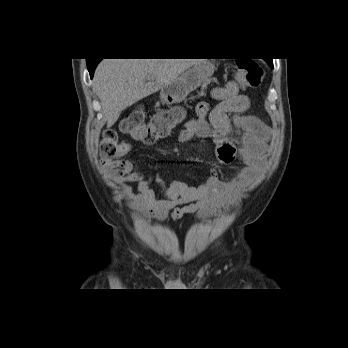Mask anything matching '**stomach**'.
<instances>
[{
	"instance_id": "stomach-1",
	"label": "stomach",
	"mask_w": 348,
	"mask_h": 348,
	"mask_svg": "<svg viewBox=\"0 0 348 348\" xmlns=\"http://www.w3.org/2000/svg\"><path fill=\"white\" fill-rule=\"evenodd\" d=\"M214 70L212 62L201 60L161 89V101L167 105L181 102L191 91L205 83L213 75Z\"/></svg>"
}]
</instances>
